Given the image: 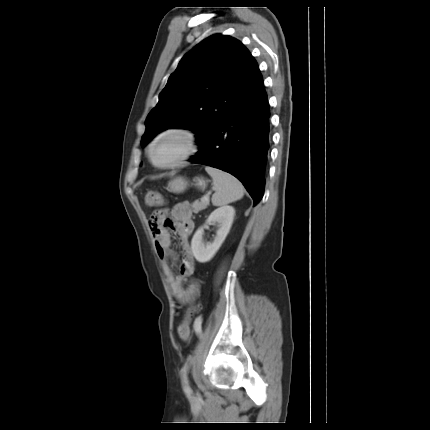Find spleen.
Returning a JSON list of instances; mask_svg holds the SVG:
<instances>
[{
    "mask_svg": "<svg viewBox=\"0 0 430 430\" xmlns=\"http://www.w3.org/2000/svg\"><path fill=\"white\" fill-rule=\"evenodd\" d=\"M205 170L213 180L215 193L211 201L214 206H225L243 197L244 187L235 176L211 166H206Z\"/></svg>",
    "mask_w": 430,
    "mask_h": 430,
    "instance_id": "3e777b00",
    "label": "spleen"
}]
</instances>
